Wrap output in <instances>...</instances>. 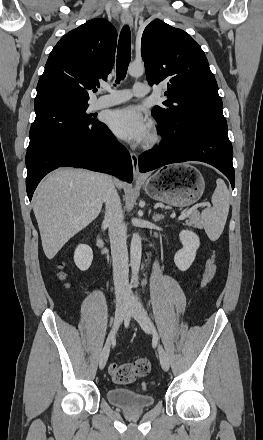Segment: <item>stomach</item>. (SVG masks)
<instances>
[{"label":"stomach","instance_id":"stomach-1","mask_svg":"<svg viewBox=\"0 0 263 440\" xmlns=\"http://www.w3.org/2000/svg\"><path fill=\"white\" fill-rule=\"evenodd\" d=\"M143 187L155 200L175 207H186L201 198L205 182L194 167L175 165L148 177L143 182Z\"/></svg>","mask_w":263,"mask_h":440}]
</instances>
